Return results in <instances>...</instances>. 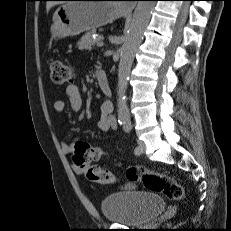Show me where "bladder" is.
Masks as SVG:
<instances>
[{"label":"bladder","instance_id":"31cf9c89","mask_svg":"<svg viewBox=\"0 0 231 231\" xmlns=\"http://www.w3.org/2000/svg\"><path fill=\"white\" fill-rule=\"evenodd\" d=\"M165 207V200L159 195L142 191L116 192L100 203V210L106 220L127 226L149 224Z\"/></svg>","mask_w":231,"mask_h":231}]
</instances>
